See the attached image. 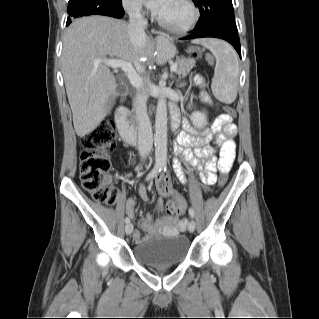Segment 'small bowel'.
<instances>
[{
    "label": "small bowel",
    "instance_id": "obj_1",
    "mask_svg": "<svg viewBox=\"0 0 319 319\" xmlns=\"http://www.w3.org/2000/svg\"><path fill=\"white\" fill-rule=\"evenodd\" d=\"M201 99L204 102H209V97L206 93L201 94ZM172 117L174 121L178 120V113L172 109ZM213 135L215 139L213 140ZM237 135V126L234 123V118L230 114H220L213 122L211 129L197 130L190 123H184V131L179 133L177 137V147L175 152L182 157L194 168L202 172L200 176L201 182L206 185H214L217 181V169L220 172L228 173L235 158ZM220 146L219 159L216 160L213 155L216 152V147L211 143ZM193 149L194 156L190 153ZM198 159H206V162H201ZM174 168L178 179L182 183H186V177L177 158L173 159ZM168 181L167 177L160 176L156 179L155 185L158 188L160 182ZM169 182V181H168ZM159 192L164 197H169L170 200H175L182 204V214L180 219L172 220L165 216H160L153 220L151 215H147L141 220L140 225L147 235H153L157 232L164 231L169 234L183 232L187 226L186 202L184 198L171 187L159 189ZM138 193L142 200H148V190L144 184L138 186ZM135 200L129 198L125 204V212L133 217L135 215ZM145 238L141 236L140 231L133 232V241L137 244L141 243Z\"/></svg>",
    "mask_w": 319,
    "mask_h": 319
}]
</instances>
